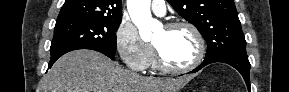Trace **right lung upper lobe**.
Instances as JSON below:
<instances>
[{"instance_id":"right-lung-upper-lobe-1","label":"right lung upper lobe","mask_w":289,"mask_h":92,"mask_svg":"<svg viewBox=\"0 0 289 92\" xmlns=\"http://www.w3.org/2000/svg\"><path fill=\"white\" fill-rule=\"evenodd\" d=\"M77 17L121 19V0H66L57 20Z\"/></svg>"}]
</instances>
